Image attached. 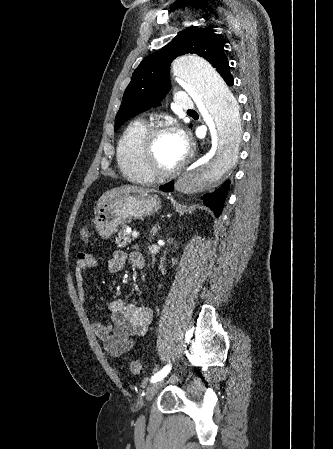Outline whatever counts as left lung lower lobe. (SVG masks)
I'll use <instances>...</instances> for the list:
<instances>
[{
  "label": "left lung lower lobe",
  "instance_id": "left-lung-lower-lobe-1",
  "mask_svg": "<svg viewBox=\"0 0 333 449\" xmlns=\"http://www.w3.org/2000/svg\"><path fill=\"white\" fill-rule=\"evenodd\" d=\"M225 82L229 85H233V77L230 72H227L224 76H222ZM173 183H168L166 185L161 186L159 189L165 192L173 191ZM230 181H226L221 187L217 190L207 193L203 197L204 204L210 209L213 210L216 217H219L222 211V207L226 198L227 191L229 189Z\"/></svg>",
  "mask_w": 333,
  "mask_h": 449
}]
</instances>
